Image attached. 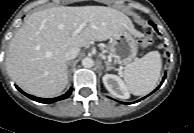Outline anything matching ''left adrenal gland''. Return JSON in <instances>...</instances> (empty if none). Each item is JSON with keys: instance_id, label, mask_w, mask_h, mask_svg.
<instances>
[{"instance_id": "obj_1", "label": "left adrenal gland", "mask_w": 194, "mask_h": 133, "mask_svg": "<svg viewBox=\"0 0 194 133\" xmlns=\"http://www.w3.org/2000/svg\"><path fill=\"white\" fill-rule=\"evenodd\" d=\"M105 65H106V71H109L111 69H113V67L111 66V64L108 61H105Z\"/></svg>"}]
</instances>
